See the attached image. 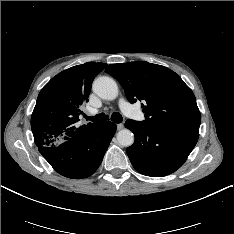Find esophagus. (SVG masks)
Wrapping results in <instances>:
<instances>
[{"instance_id":"34e87169","label":"esophagus","mask_w":234,"mask_h":234,"mask_svg":"<svg viewBox=\"0 0 234 234\" xmlns=\"http://www.w3.org/2000/svg\"><path fill=\"white\" fill-rule=\"evenodd\" d=\"M124 128V125L122 123L117 124V129L122 130Z\"/></svg>"}]
</instances>
